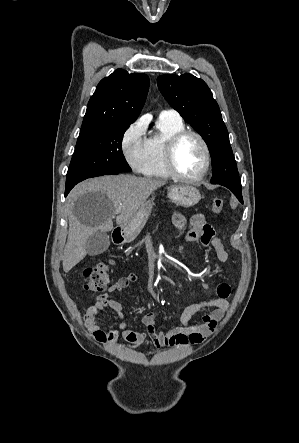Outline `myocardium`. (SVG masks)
<instances>
[{
    "mask_svg": "<svg viewBox=\"0 0 299 443\" xmlns=\"http://www.w3.org/2000/svg\"><path fill=\"white\" fill-rule=\"evenodd\" d=\"M188 136H193V137L197 138L203 148V151H204L203 169L196 176L183 175L178 170V168L176 166V162H175L176 149H177L178 145L182 142V140ZM164 162H165V167H166L167 171L169 172V174L172 177H174L177 180L183 181V182L195 183V182L201 181L207 175V173L210 169V165H211V153H210V149H209V146H208L206 140L204 139V137L200 133H198L194 130L183 129V130L177 132L176 134H174L168 140V142L165 146V151H164Z\"/></svg>",
    "mask_w": 299,
    "mask_h": 443,
    "instance_id": "f54148a6",
    "label": "myocardium"
}]
</instances>
